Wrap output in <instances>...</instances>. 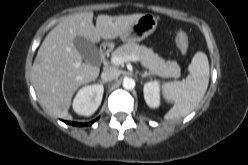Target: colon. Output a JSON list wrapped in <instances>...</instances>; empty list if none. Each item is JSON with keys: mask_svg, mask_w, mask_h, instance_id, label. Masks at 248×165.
<instances>
[{"mask_svg": "<svg viewBox=\"0 0 248 165\" xmlns=\"http://www.w3.org/2000/svg\"><path fill=\"white\" fill-rule=\"evenodd\" d=\"M175 41L180 52L185 54L189 49V38L187 33L184 31H178Z\"/></svg>", "mask_w": 248, "mask_h": 165, "instance_id": "obj_1", "label": "colon"}]
</instances>
